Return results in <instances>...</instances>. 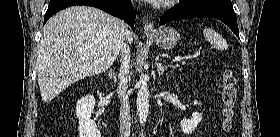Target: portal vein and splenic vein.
Returning <instances> with one entry per match:
<instances>
[{"label":"portal vein and splenic vein","instance_id":"18ae733b","mask_svg":"<svg viewBox=\"0 0 280 137\" xmlns=\"http://www.w3.org/2000/svg\"><path fill=\"white\" fill-rule=\"evenodd\" d=\"M183 58L181 57H176L173 61H179V60H182Z\"/></svg>","mask_w":280,"mask_h":137}]
</instances>
